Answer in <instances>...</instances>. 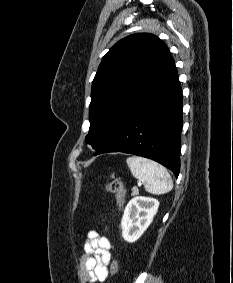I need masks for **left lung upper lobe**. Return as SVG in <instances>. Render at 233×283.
I'll list each match as a JSON object with an SVG mask.
<instances>
[{"mask_svg": "<svg viewBox=\"0 0 233 283\" xmlns=\"http://www.w3.org/2000/svg\"><path fill=\"white\" fill-rule=\"evenodd\" d=\"M169 56L166 44L149 33L127 36L109 50L92 82L86 143L97 151L109 140Z\"/></svg>", "mask_w": 233, "mask_h": 283, "instance_id": "left-lung-upper-lobe-1", "label": "left lung upper lobe"}]
</instances>
